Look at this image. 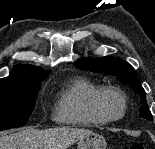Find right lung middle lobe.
Instances as JSON below:
<instances>
[{
  "instance_id": "dd1d6c3e",
  "label": "right lung middle lobe",
  "mask_w": 155,
  "mask_h": 149,
  "mask_svg": "<svg viewBox=\"0 0 155 149\" xmlns=\"http://www.w3.org/2000/svg\"><path fill=\"white\" fill-rule=\"evenodd\" d=\"M47 76L34 80L0 81V130L21 127L31 115L40 81Z\"/></svg>"
}]
</instances>
